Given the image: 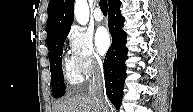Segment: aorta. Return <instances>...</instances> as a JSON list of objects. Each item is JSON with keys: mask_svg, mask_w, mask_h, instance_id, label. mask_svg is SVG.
I'll return each mask as SVG.
<instances>
[{"mask_svg": "<svg viewBox=\"0 0 193 112\" xmlns=\"http://www.w3.org/2000/svg\"><path fill=\"white\" fill-rule=\"evenodd\" d=\"M75 18L81 25L87 24L89 20V6L86 0H77L75 3Z\"/></svg>", "mask_w": 193, "mask_h": 112, "instance_id": "762f6f07", "label": "aorta"}]
</instances>
